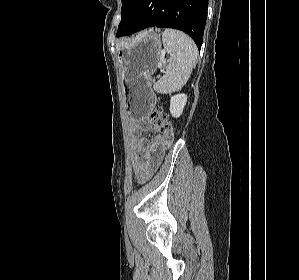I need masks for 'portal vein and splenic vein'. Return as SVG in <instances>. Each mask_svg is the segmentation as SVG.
Instances as JSON below:
<instances>
[{"instance_id":"portal-vein-and-splenic-vein-1","label":"portal vein and splenic vein","mask_w":299,"mask_h":280,"mask_svg":"<svg viewBox=\"0 0 299 280\" xmlns=\"http://www.w3.org/2000/svg\"><path fill=\"white\" fill-rule=\"evenodd\" d=\"M159 67H160V68H162V67H163V65H162V64H160V65H159Z\"/></svg>"}]
</instances>
